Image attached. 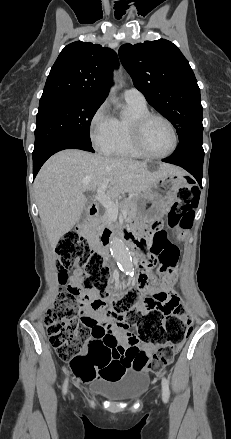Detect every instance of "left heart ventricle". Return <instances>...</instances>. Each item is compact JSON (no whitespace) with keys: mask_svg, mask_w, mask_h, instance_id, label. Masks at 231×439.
Wrapping results in <instances>:
<instances>
[{"mask_svg":"<svg viewBox=\"0 0 231 439\" xmlns=\"http://www.w3.org/2000/svg\"><path fill=\"white\" fill-rule=\"evenodd\" d=\"M143 140L146 148L153 154H165L173 146L170 127L160 119H152L144 129Z\"/></svg>","mask_w":231,"mask_h":439,"instance_id":"left-heart-ventricle-1","label":"left heart ventricle"}]
</instances>
